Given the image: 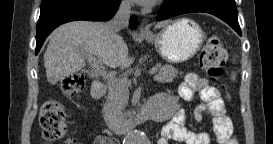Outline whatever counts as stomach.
<instances>
[{
  "label": "stomach",
  "instance_id": "0dacf381",
  "mask_svg": "<svg viewBox=\"0 0 273 144\" xmlns=\"http://www.w3.org/2000/svg\"><path fill=\"white\" fill-rule=\"evenodd\" d=\"M205 36L193 20L182 18L166 25L158 35L146 37L162 58L170 63L191 59L201 48Z\"/></svg>",
  "mask_w": 273,
  "mask_h": 144
}]
</instances>
